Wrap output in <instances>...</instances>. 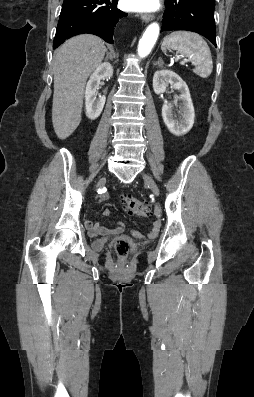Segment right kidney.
<instances>
[{"label": "right kidney", "instance_id": "ca27d5eb", "mask_svg": "<svg viewBox=\"0 0 254 397\" xmlns=\"http://www.w3.org/2000/svg\"><path fill=\"white\" fill-rule=\"evenodd\" d=\"M112 76V65L107 62L100 64L90 76L85 90L86 116L89 119L95 120L99 117L106 101L104 95L97 94L100 81L105 78H111Z\"/></svg>", "mask_w": 254, "mask_h": 397}]
</instances>
